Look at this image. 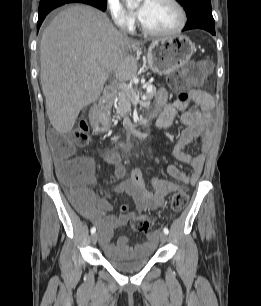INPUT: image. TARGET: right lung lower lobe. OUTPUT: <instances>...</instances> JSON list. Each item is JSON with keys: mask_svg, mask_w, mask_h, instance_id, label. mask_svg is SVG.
Wrapping results in <instances>:
<instances>
[{"mask_svg": "<svg viewBox=\"0 0 261 306\" xmlns=\"http://www.w3.org/2000/svg\"><path fill=\"white\" fill-rule=\"evenodd\" d=\"M73 2H79V3H85V4H89L92 6H95L99 9H101L102 11H105L106 8H103L99 5L90 3L88 1H74V0H40V4H39V17H38V22H37V30H39L43 20L45 19L46 15L52 11L53 9L64 5L66 3H73Z\"/></svg>", "mask_w": 261, "mask_h": 306, "instance_id": "right-lung-lower-lobe-1", "label": "right lung lower lobe"}]
</instances>
